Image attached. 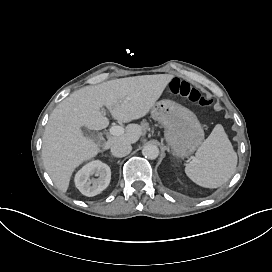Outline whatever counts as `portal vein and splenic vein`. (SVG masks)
Returning a JSON list of instances; mask_svg holds the SVG:
<instances>
[{
    "label": "portal vein and splenic vein",
    "instance_id": "18ae733b",
    "mask_svg": "<svg viewBox=\"0 0 272 272\" xmlns=\"http://www.w3.org/2000/svg\"><path fill=\"white\" fill-rule=\"evenodd\" d=\"M110 133L114 136H120L124 134V128L121 126H112L110 128ZM193 161H195V158L193 159Z\"/></svg>",
    "mask_w": 272,
    "mask_h": 272
}]
</instances>
